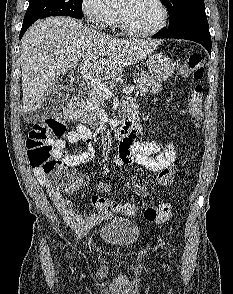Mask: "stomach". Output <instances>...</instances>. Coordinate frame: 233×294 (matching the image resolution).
I'll return each mask as SVG.
<instances>
[{
    "label": "stomach",
    "instance_id": "0dacf381",
    "mask_svg": "<svg viewBox=\"0 0 233 294\" xmlns=\"http://www.w3.org/2000/svg\"><path fill=\"white\" fill-rule=\"evenodd\" d=\"M146 64L150 77L158 82L167 80L175 70L174 63L162 53L148 56Z\"/></svg>",
    "mask_w": 233,
    "mask_h": 294
}]
</instances>
